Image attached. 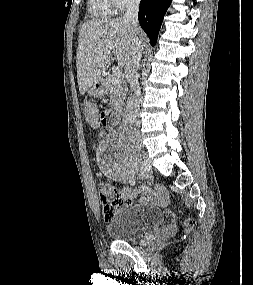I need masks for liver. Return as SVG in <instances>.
I'll use <instances>...</instances> for the list:
<instances>
[{"mask_svg":"<svg viewBox=\"0 0 253 285\" xmlns=\"http://www.w3.org/2000/svg\"><path fill=\"white\" fill-rule=\"evenodd\" d=\"M136 41L143 46L145 33L140 27H133L122 18L85 22L79 31L76 60L80 94L84 95L104 75L112 58L109 43L115 46L118 64L124 66L135 48Z\"/></svg>","mask_w":253,"mask_h":285,"instance_id":"6515ba94","label":"liver"}]
</instances>
